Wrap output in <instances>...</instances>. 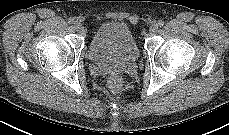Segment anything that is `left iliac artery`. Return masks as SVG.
Returning a JSON list of instances; mask_svg holds the SVG:
<instances>
[{
    "mask_svg": "<svg viewBox=\"0 0 229 135\" xmlns=\"http://www.w3.org/2000/svg\"><path fill=\"white\" fill-rule=\"evenodd\" d=\"M158 26L162 27L164 25V22L162 20L158 21Z\"/></svg>",
    "mask_w": 229,
    "mask_h": 135,
    "instance_id": "left-iliac-artery-1",
    "label": "left iliac artery"
}]
</instances>
